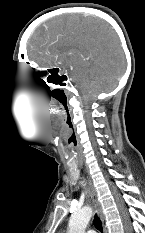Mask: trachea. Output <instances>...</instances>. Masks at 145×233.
<instances>
[{
    "mask_svg": "<svg viewBox=\"0 0 145 233\" xmlns=\"http://www.w3.org/2000/svg\"><path fill=\"white\" fill-rule=\"evenodd\" d=\"M94 226L96 229H98L101 233H102V223L100 218L97 216V214H95L94 216V220H93Z\"/></svg>",
    "mask_w": 145,
    "mask_h": 233,
    "instance_id": "1",
    "label": "trachea"
}]
</instances>
